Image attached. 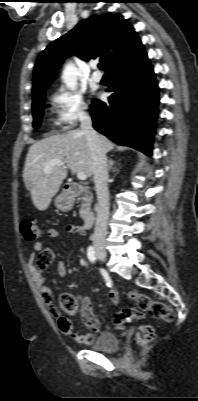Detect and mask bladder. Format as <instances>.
I'll list each match as a JSON object with an SVG mask.
<instances>
[{
	"label": "bladder",
	"instance_id": "31cf9c89",
	"mask_svg": "<svg viewBox=\"0 0 198 401\" xmlns=\"http://www.w3.org/2000/svg\"><path fill=\"white\" fill-rule=\"evenodd\" d=\"M119 346L118 337L114 333H103L92 343L91 348L98 351L112 352Z\"/></svg>",
	"mask_w": 198,
	"mask_h": 401
}]
</instances>
